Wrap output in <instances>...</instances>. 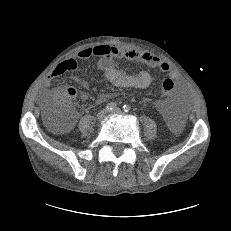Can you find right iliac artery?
I'll return each mask as SVG.
<instances>
[{
    "label": "right iliac artery",
    "mask_w": 231,
    "mask_h": 231,
    "mask_svg": "<svg viewBox=\"0 0 231 231\" xmlns=\"http://www.w3.org/2000/svg\"><path fill=\"white\" fill-rule=\"evenodd\" d=\"M116 107V103L114 102H110L106 105V110L110 111V110H113L114 108Z\"/></svg>",
    "instance_id": "82829eb1"
}]
</instances>
